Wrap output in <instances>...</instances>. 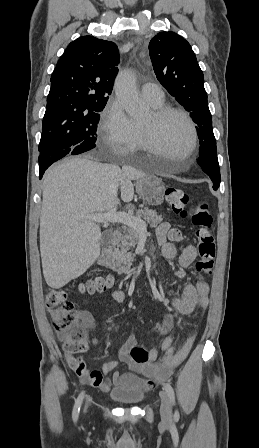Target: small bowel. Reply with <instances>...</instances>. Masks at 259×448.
Here are the masks:
<instances>
[{
	"label": "small bowel",
	"instance_id": "c3829d8e",
	"mask_svg": "<svg viewBox=\"0 0 259 448\" xmlns=\"http://www.w3.org/2000/svg\"><path fill=\"white\" fill-rule=\"evenodd\" d=\"M169 231L170 225L168 223L160 224L156 229V239L163 257L166 259H174L178 255V247L174 242L168 240ZM196 256V247L192 244L185 245L178 258L180 266L183 268L190 267L195 261ZM195 280V283H186L180 289L179 295L172 299L171 304L176 312L187 315L192 313L197 307L201 311L207 309L210 285L200 272L196 274ZM113 298L118 302H123L126 297L122 292H115ZM173 326V315L166 313L162 323L157 324L154 328L158 334L166 336L162 343L164 355L159 359L158 350L156 348H150L148 351V361L143 364L135 363L130 358V350L136 346V338L133 335L129 336L120 350L119 358L134 373L115 371L117 366L116 360H109L102 365L100 370L94 371H90L80 357H74L68 353L67 361L70 368L81 380L104 392H108L113 387H136L142 390H149L156 382L166 380L170 377L174 368L186 359L195 342L196 331H191L183 344L179 348H176L174 346L175 337L170 334ZM92 342L98 347L97 340L94 339ZM138 374L144 378H141Z\"/></svg>",
	"mask_w": 259,
	"mask_h": 448
}]
</instances>
